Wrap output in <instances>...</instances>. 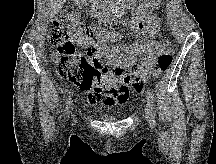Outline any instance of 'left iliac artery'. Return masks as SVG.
I'll list each match as a JSON object with an SVG mask.
<instances>
[{"label":"left iliac artery","mask_w":216,"mask_h":164,"mask_svg":"<svg viewBox=\"0 0 216 164\" xmlns=\"http://www.w3.org/2000/svg\"><path fill=\"white\" fill-rule=\"evenodd\" d=\"M148 105L150 108L149 114L152 117V127L155 126V104H154V96L152 92L147 91Z\"/></svg>","instance_id":"obj_1"}]
</instances>
